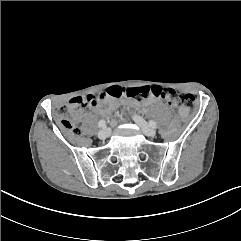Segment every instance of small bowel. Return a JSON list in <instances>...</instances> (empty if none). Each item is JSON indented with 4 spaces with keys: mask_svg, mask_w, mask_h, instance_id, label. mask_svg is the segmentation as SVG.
<instances>
[{
    "mask_svg": "<svg viewBox=\"0 0 241 241\" xmlns=\"http://www.w3.org/2000/svg\"><path fill=\"white\" fill-rule=\"evenodd\" d=\"M154 102V100L152 99V98H150V99H147L146 101H144L142 104L143 105H148V104H151V103H153ZM96 111L98 112V113H103V111H102V109L101 108H99V107H97L96 108ZM179 112H180V114H185V110L184 109H179Z\"/></svg>",
    "mask_w": 241,
    "mask_h": 241,
    "instance_id": "small-bowel-1",
    "label": "small bowel"
}]
</instances>
